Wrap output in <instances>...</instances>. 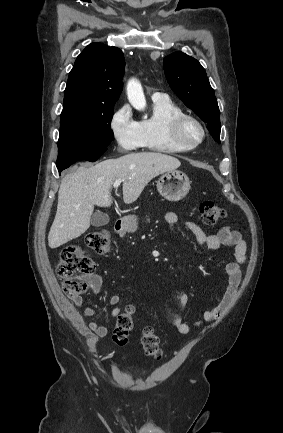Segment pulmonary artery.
Segmentation results:
<instances>
[{"label": "pulmonary artery", "mask_w": 283, "mask_h": 433, "mask_svg": "<svg viewBox=\"0 0 283 433\" xmlns=\"http://www.w3.org/2000/svg\"><path fill=\"white\" fill-rule=\"evenodd\" d=\"M159 98H163V96L160 95L159 93H154V94H152V99H153V100H156V99H159Z\"/></svg>", "instance_id": "obj_1"}]
</instances>
